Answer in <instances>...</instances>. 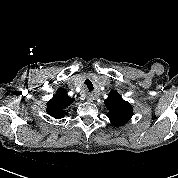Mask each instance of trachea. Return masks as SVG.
<instances>
[{"label":"trachea","mask_w":178,"mask_h":178,"mask_svg":"<svg viewBox=\"0 0 178 178\" xmlns=\"http://www.w3.org/2000/svg\"><path fill=\"white\" fill-rule=\"evenodd\" d=\"M85 86H86V88H87V90H88L89 92L94 89V88H93V84H92V82H91L89 79L85 80Z\"/></svg>","instance_id":"3493384b"}]
</instances>
